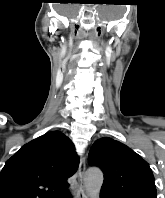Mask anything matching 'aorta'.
I'll return each mask as SVG.
<instances>
[{
  "instance_id": "1",
  "label": "aorta",
  "mask_w": 165,
  "mask_h": 198,
  "mask_svg": "<svg viewBox=\"0 0 165 198\" xmlns=\"http://www.w3.org/2000/svg\"><path fill=\"white\" fill-rule=\"evenodd\" d=\"M103 173L99 168H89L84 176V186L89 198H99L103 184Z\"/></svg>"
}]
</instances>
